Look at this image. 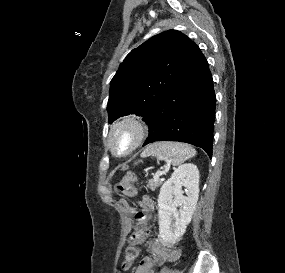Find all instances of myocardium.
<instances>
[{
	"label": "myocardium",
	"instance_id": "obj_1",
	"mask_svg": "<svg viewBox=\"0 0 285 273\" xmlns=\"http://www.w3.org/2000/svg\"><path fill=\"white\" fill-rule=\"evenodd\" d=\"M124 126H128L133 131V138L129 147L123 151L118 152L114 146V137L116 133ZM148 135V125L139 116L135 114H127L116 119L110 126L107 134L106 142L110 152L116 157H127L134 153L145 141Z\"/></svg>",
	"mask_w": 285,
	"mask_h": 273
}]
</instances>
